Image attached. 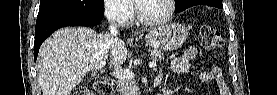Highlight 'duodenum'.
<instances>
[{
	"label": "duodenum",
	"instance_id": "410a0bca",
	"mask_svg": "<svg viewBox=\"0 0 277 95\" xmlns=\"http://www.w3.org/2000/svg\"><path fill=\"white\" fill-rule=\"evenodd\" d=\"M94 88L99 94H111L113 90L112 82L109 80H101L96 82Z\"/></svg>",
	"mask_w": 277,
	"mask_h": 95
}]
</instances>
